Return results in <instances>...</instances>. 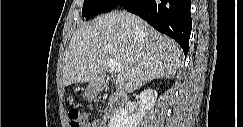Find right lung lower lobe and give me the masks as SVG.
<instances>
[{"mask_svg":"<svg viewBox=\"0 0 243 127\" xmlns=\"http://www.w3.org/2000/svg\"><path fill=\"white\" fill-rule=\"evenodd\" d=\"M117 6L140 16L156 30L173 38L187 55L192 27L191 0H120Z\"/></svg>","mask_w":243,"mask_h":127,"instance_id":"1","label":"right lung lower lobe"}]
</instances>
